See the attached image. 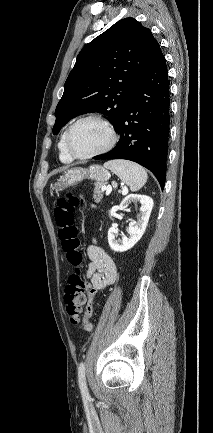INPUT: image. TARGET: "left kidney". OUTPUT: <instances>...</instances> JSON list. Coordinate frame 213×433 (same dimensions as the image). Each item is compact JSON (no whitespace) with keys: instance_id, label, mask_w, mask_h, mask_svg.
I'll use <instances>...</instances> for the list:
<instances>
[{"instance_id":"5707ae66","label":"left kidney","mask_w":213,"mask_h":433,"mask_svg":"<svg viewBox=\"0 0 213 433\" xmlns=\"http://www.w3.org/2000/svg\"><path fill=\"white\" fill-rule=\"evenodd\" d=\"M131 202H140L141 204L139 219L137 222L131 221L129 223V236L122 234L121 239L116 240L115 238L118 233L116 227L112 226L108 230V243L113 251L124 252L131 249L141 239L146 230L153 208V199L146 195L130 194L122 200L120 209H126Z\"/></svg>"}]
</instances>
